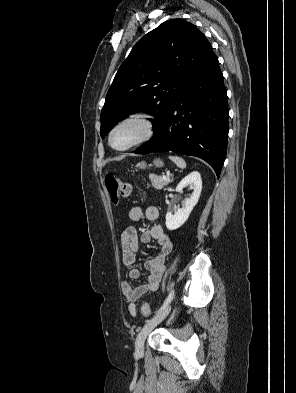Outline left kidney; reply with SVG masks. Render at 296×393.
Listing matches in <instances>:
<instances>
[{
	"instance_id": "obj_1",
	"label": "left kidney",
	"mask_w": 296,
	"mask_h": 393,
	"mask_svg": "<svg viewBox=\"0 0 296 393\" xmlns=\"http://www.w3.org/2000/svg\"><path fill=\"white\" fill-rule=\"evenodd\" d=\"M187 186L193 189L191 196L182 202V207L178 208L174 215L171 212H167L166 214L165 224L168 230H175L181 227L187 221L191 211L197 204L202 190V179L199 172L193 171L182 179L176 187V191L182 193L183 189Z\"/></svg>"
}]
</instances>
